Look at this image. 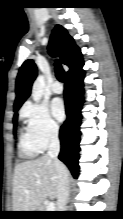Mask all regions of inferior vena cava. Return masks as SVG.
<instances>
[{
	"instance_id": "inferior-vena-cava-1",
	"label": "inferior vena cava",
	"mask_w": 123,
	"mask_h": 219,
	"mask_svg": "<svg viewBox=\"0 0 123 219\" xmlns=\"http://www.w3.org/2000/svg\"><path fill=\"white\" fill-rule=\"evenodd\" d=\"M58 128L55 127L51 130L50 134V144L47 152V156L52 159L56 166V171L58 174V194H57V211H65L66 204L69 197V180H68V170L65 165L58 159V154L60 152V142L58 138Z\"/></svg>"
}]
</instances>
